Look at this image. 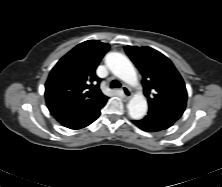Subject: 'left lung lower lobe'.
Wrapping results in <instances>:
<instances>
[{"mask_svg": "<svg viewBox=\"0 0 222 187\" xmlns=\"http://www.w3.org/2000/svg\"><path fill=\"white\" fill-rule=\"evenodd\" d=\"M185 107L161 105L149 107L147 116L134 120L136 126L147 132H157L172 126L183 114Z\"/></svg>", "mask_w": 222, "mask_h": 187, "instance_id": "left-lung-lower-lobe-1", "label": "left lung lower lobe"}]
</instances>
